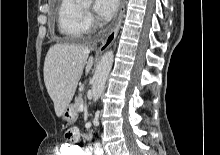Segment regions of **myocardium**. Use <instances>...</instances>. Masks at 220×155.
Wrapping results in <instances>:
<instances>
[{
  "mask_svg": "<svg viewBox=\"0 0 220 155\" xmlns=\"http://www.w3.org/2000/svg\"><path fill=\"white\" fill-rule=\"evenodd\" d=\"M81 9L86 13L88 11V9L84 8L81 6Z\"/></svg>",
  "mask_w": 220,
  "mask_h": 155,
  "instance_id": "obj_1",
  "label": "myocardium"
}]
</instances>
